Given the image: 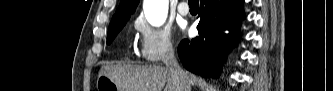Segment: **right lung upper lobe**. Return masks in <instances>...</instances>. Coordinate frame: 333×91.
Segmentation results:
<instances>
[{
	"label": "right lung upper lobe",
	"instance_id": "cb5924a9",
	"mask_svg": "<svg viewBox=\"0 0 333 91\" xmlns=\"http://www.w3.org/2000/svg\"><path fill=\"white\" fill-rule=\"evenodd\" d=\"M139 0H121V3L112 17L111 22L124 18H130V15L135 11Z\"/></svg>",
	"mask_w": 333,
	"mask_h": 91
}]
</instances>
